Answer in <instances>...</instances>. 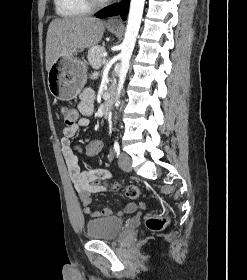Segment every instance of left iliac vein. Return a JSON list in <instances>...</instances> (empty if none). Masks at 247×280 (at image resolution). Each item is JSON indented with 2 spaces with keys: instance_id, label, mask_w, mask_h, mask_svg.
I'll return each instance as SVG.
<instances>
[{
  "instance_id": "left-iliac-vein-1",
  "label": "left iliac vein",
  "mask_w": 247,
  "mask_h": 280,
  "mask_svg": "<svg viewBox=\"0 0 247 280\" xmlns=\"http://www.w3.org/2000/svg\"><path fill=\"white\" fill-rule=\"evenodd\" d=\"M119 166L123 171H131V158L127 154L121 153L119 156Z\"/></svg>"
}]
</instances>
